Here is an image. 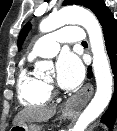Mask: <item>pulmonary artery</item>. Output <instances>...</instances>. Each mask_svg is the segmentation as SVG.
<instances>
[{"mask_svg":"<svg viewBox=\"0 0 117 131\" xmlns=\"http://www.w3.org/2000/svg\"><path fill=\"white\" fill-rule=\"evenodd\" d=\"M83 41H85V33L80 27H64L39 38L29 53V59L36 57H53L59 51L60 43H81Z\"/></svg>","mask_w":117,"mask_h":131,"instance_id":"obj_1","label":"pulmonary artery"}]
</instances>
